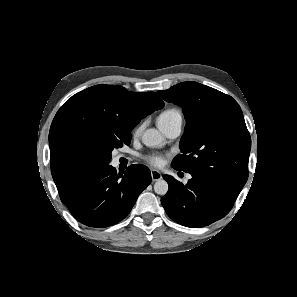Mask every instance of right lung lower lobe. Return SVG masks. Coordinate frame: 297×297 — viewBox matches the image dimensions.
I'll list each match as a JSON object with an SVG mask.
<instances>
[{"label":"right lung lower lobe","mask_w":297,"mask_h":297,"mask_svg":"<svg viewBox=\"0 0 297 297\" xmlns=\"http://www.w3.org/2000/svg\"><path fill=\"white\" fill-rule=\"evenodd\" d=\"M150 183V170L144 165L129 166L124 176L108 165L87 175L61 201L82 224L108 227L129 214Z\"/></svg>","instance_id":"98d812e1"}]
</instances>
